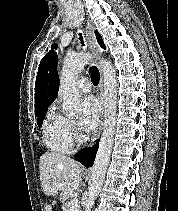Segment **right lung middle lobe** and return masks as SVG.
<instances>
[{
	"mask_svg": "<svg viewBox=\"0 0 178 211\" xmlns=\"http://www.w3.org/2000/svg\"><path fill=\"white\" fill-rule=\"evenodd\" d=\"M46 111H47V109H44V110H42V111H40L38 113H35V116H38V118H37V125L38 126H41V124L43 122V118H44V116L46 114Z\"/></svg>",
	"mask_w": 178,
	"mask_h": 211,
	"instance_id": "1",
	"label": "right lung middle lobe"
}]
</instances>
